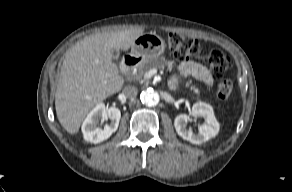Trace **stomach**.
Here are the masks:
<instances>
[{
	"label": "stomach",
	"instance_id": "stomach-1",
	"mask_svg": "<svg viewBox=\"0 0 292 192\" xmlns=\"http://www.w3.org/2000/svg\"><path fill=\"white\" fill-rule=\"evenodd\" d=\"M165 51L164 40L155 33H146L138 37L132 44L131 55L143 61L158 58Z\"/></svg>",
	"mask_w": 292,
	"mask_h": 192
}]
</instances>
